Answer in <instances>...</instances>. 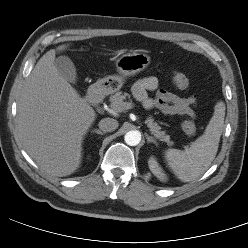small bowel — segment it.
<instances>
[{"instance_id":"obj_1","label":"small bowel","mask_w":248,"mask_h":248,"mask_svg":"<svg viewBox=\"0 0 248 248\" xmlns=\"http://www.w3.org/2000/svg\"><path fill=\"white\" fill-rule=\"evenodd\" d=\"M157 91L154 98L148 93ZM132 92L145 108H156L165 115L195 116L193 105L195 97H180L163 89H158V80L154 76H146L139 79L133 86Z\"/></svg>"}]
</instances>
